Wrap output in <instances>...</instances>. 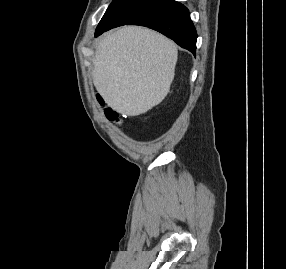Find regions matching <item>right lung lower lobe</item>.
Returning <instances> with one entry per match:
<instances>
[{
	"label": "right lung lower lobe",
	"instance_id": "right-lung-lower-lobe-1",
	"mask_svg": "<svg viewBox=\"0 0 286 269\" xmlns=\"http://www.w3.org/2000/svg\"><path fill=\"white\" fill-rule=\"evenodd\" d=\"M126 25L152 28L195 55L197 33L188 9L179 2L162 0L131 19ZM107 30L109 29L96 31L95 36L97 37Z\"/></svg>",
	"mask_w": 286,
	"mask_h": 269
}]
</instances>
